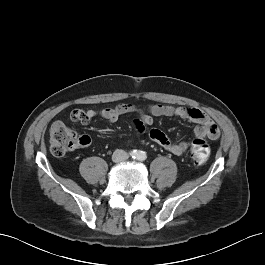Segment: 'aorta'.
Instances as JSON below:
<instances>
[{"label":"aorta","mask_w":265,"mask_h":265,"mask_svg":"<svg viewBox=\"0 0 265 265\" xmlns=\"http://www.w3.org/2000/svg\"><path fill=\"white\" fill-rule=\"evenodd\" d=\"M137 158L140 160H144L146 158V153L144 151L138 152Z\"/></svg>","instance_id":"762f6f07"}]
</instances>
